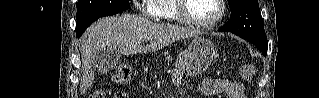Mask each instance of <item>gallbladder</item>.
<instances>
[{
	"label": "gallbladder",
	"instance_id": "gallbladder-1",
	"mask_svg": "<svg viewBox=\"0 0 319 98\" xmlns=\"http://www.w3.org/2000/svg\"><path fill=\"white\" fill-rule=\"evenodd\" d=\"M120 55L114 50L99 51L93 58V66L95 71L99 73H108L113 70L119 63Z\"/></svg>",
	"mask_w": 319,
	"mask_h": 98
}]
</instances>
